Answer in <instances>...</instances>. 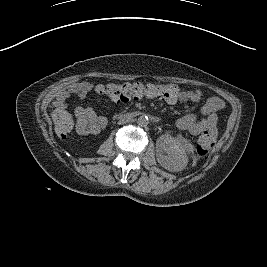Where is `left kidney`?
<instances>
[{"mask_svg": "<svg viewBox=\"0 0 267 267\" xmlns=\"http://www.w3.org/2000/svg\"><path fill=\"white\" fill-rule=\"evenodd\" d=\"M156 158L160 166L169 172L184 170L189 159L185 149L170 135H162L157 139Z\"/></svg>", "mask_w": 267, "mask_h": 267, "instance_id": "5707ae66", "label": "left kidney"}]
</instances>
